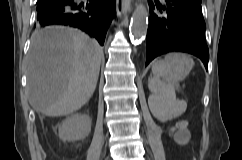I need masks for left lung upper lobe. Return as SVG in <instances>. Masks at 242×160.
Masks as SVG:
<instances>
[{
  "label": "left lung upper lobe",
  "instance_id": "1",
  "mask_svg": "<svg viewBox=\"0 0 242 160\" xmlns=\"http://www.w3.org/2000/svg\"><path fill=\"white\" fill-rule=\"evenodd\" d=\"M194 1H196V2H202V0H194Z\"/></svg>",
  "mask_w": 242,
  "mask_h": 160
}]
</instances>
